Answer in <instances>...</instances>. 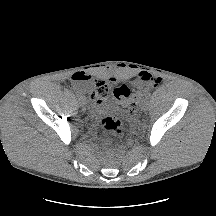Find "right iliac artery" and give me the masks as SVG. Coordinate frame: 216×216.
Returning <instances> with one entry per match:
<instances>
[{"label":"right iliac artery","instance_id":"right-iliac-artery-1","mask_svg":"<svg viewBox=\"0 0 216 216\" xmlns=\"http://www.w3.org/2000/svg\"><path fill=\"white\" fill-rule=\"evenodd\" d=\"M77 98H78V99H81V98H82V95L77 93Z\"/></svg>","mask_w":216,"mask_h":216}]
</instances>
